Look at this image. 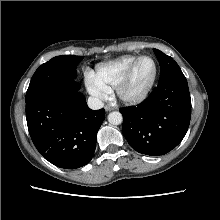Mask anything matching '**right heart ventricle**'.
I'll return each mask as SVG.
<instances>
[{"instance_id":"obj_1","label":"right heart ventricle","mask_w":220,"mask_h":220,"mask_svg":"<svg viewBox=\"0 0 220 220\" xmlns=\"http://www.w3.org/2000/svg\"><path fill=\"white\" fill-rule=\"evenodd\" d=\"M137 58V56L125 55L113 61L100 64L97 67L95 78L110 91L123 79Z\"/></svg>"}]
</instances>
